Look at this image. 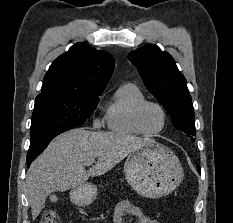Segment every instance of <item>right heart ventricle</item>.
<instances>
[{
  "mask_svg": "<svg viewBox=\"0 0 233 223\" xmlns=\"http://www.w3.org/2000/svg\"><path fill=\"white\" fill-rule=\"evenodd\" d=\"M145 99L143 91L136 83L120 85L105 110L104 121L108 130L119 135H140L133 125V112Z\"/></svg>",
  "mask_w": 233,
  "mask_h": 223,
  "instance_id": "e07e8e85",
  "label": "right heart ventricle"
}]
</instances>
